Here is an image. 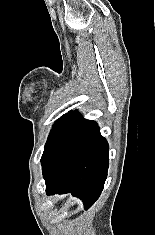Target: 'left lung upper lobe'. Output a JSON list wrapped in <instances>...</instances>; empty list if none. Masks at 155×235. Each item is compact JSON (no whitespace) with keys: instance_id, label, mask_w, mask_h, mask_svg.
I'll use <instances>...</instances> for the list:
<instances>
[{"instance_id":"left-lung-upper-lobe-1","label":"left lung upper lobe","mask_w":155,"mask_h":235,"mask_svg":"<svg viewBox=\"0 0 155 235\" xmlns=\"http://www.w3.org/2000/svg\"><path fill=\"white\" fill-rule=\"evenodd\" d=\"M84 121L78 112H69L55 122L44 147L42 166L57 146Z\"/></svg>"}]
</instances>
